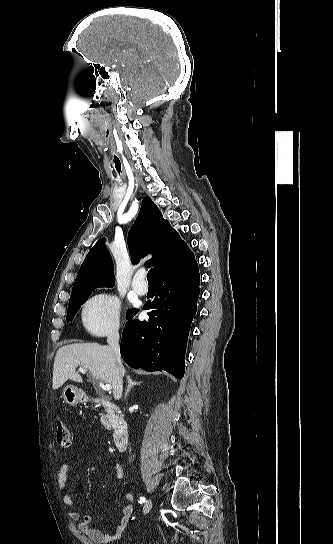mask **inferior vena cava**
Returning <instances> with one entry per match:
<instances>
[{
	"instance_id": "602c4592",
	"label": "inferior vena cava",
	"mask_w": 333,
	"mask_h": 544,
	"mask_svg": "<svg viewBox=\"0 0 333 544\" xmlns=\"http://www.w3.org/2000/svg\"><path fill=\"white\" fill-rule=\"evenodd\" d=\"M107 343L113 350L117 362L118 372L121 377L124 376V368L121 361L120 348H119V332L118 330L111 331L107 337Z\"/></svg>"
}]
</instances>
